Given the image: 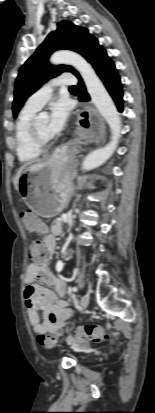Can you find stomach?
Listing matches in <instances>:
<instances>
[{"instance_id":"stomach-1","label":"stomach","mask_w":155,"mask_h":413,"mask_svg":"<svg viewBox=\"0 0 155 413\" xmlns=\"http://www.w3.org/2000/svg\"><path fill=\"white\" fill-rule=\"evenodd\" d=\"M72 175L54 159L31 164L19 177V196L39 216L53 217L69 202L74 190Z\"/></svg>"}]
</instances>
